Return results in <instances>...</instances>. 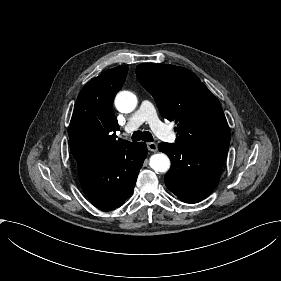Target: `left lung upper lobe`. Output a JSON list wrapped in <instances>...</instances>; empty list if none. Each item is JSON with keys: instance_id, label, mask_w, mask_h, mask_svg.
I'll list each match as a JSON object with an SVG mask.
<instances>
[{"instance_id": "5c2ea615", "label": "left lung upper lobe", "mask_w": 281, "mask_h": 281, "mask_svg": "<svg viewBox=\"0 0 281 281\" xmlns=\"http://www.w3.org/2000/svg\"><path fill=\"white\" fill-rule=\"evenodd\" d=\"M136 74L161 116L177 123V146L228 152L230 130L221 105L193 72L174 65L140 64Z\"/></svg>"}]
</instances>
